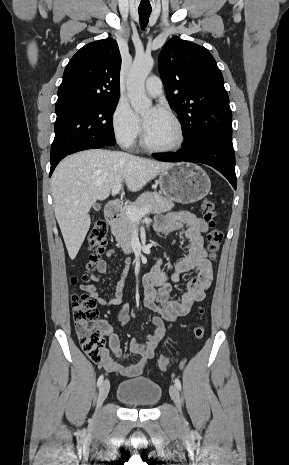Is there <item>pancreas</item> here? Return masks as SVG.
Segmentation results:
<instances>
[{"mask_svg":"<svg viewBox=\"0 0 289 465\" xmlns=\"http://www.w3.org/2000/svg\"><path fill=\"white\" fill-rule=\"evenodd\" d=\"M129 206L137 208L138 210L149 208V213L160 214L170 211L174 207V203L158 193L146 192ZM136 226L137 222L128 217L125 209L121 211L120 218L112 224V234L118 246H120L124 252L130 253L132 251L131 242Z\"/></svg>","mask_w":289,"mask_h":465,"instance_id":"pancreas-1","label":"pancreas"}]
</instances>
